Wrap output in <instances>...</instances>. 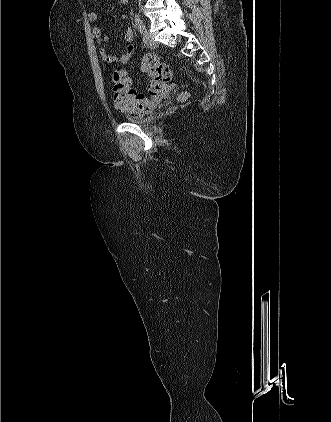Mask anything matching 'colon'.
<instances>
[{
    "label": "colon",
    "instance_id": "1",
    "mask_svg": "<svg viewBox=\"0 0 331 422\" xmlns=\"http://www.w3.org/2000/svg\"><path fill=\"white\" fill-rule=\"evenodd\" d=\"M140 69L150 77L148 89L154 100H149L144 95L137 93L131 87L125 71L115 70L112 76L115 108L133 116H141L150 112L167 91L171 80L169 65L161 62L153 54H147L142 58Z\"/></svg>",
    "mask_w": 331,
    "mask_h": 422
}]
</instances>
